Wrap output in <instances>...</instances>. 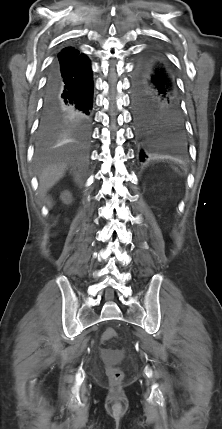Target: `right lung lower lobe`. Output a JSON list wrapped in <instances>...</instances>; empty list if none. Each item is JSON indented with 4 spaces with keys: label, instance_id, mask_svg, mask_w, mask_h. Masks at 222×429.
I'll list each match as a JSON object with an SVG mask.
<instances>
[{
    "label": "right lung lower lobe",
    "instance_id": "98d812e1",
    "mask_svg": "<svg viewBox=\"0 0 222 429\" xmlns=\"http://www.w3.org/2000/svg\"><path fill=\"white\" fill-rule=\"evenodd\" d=\"M92 99L93 80L88 58L72 47L63 49L47 74L40 126L86 133Z\"/></svg>",
    "mask_w": 222,
    "mask_h": 429
}]
</instances>
